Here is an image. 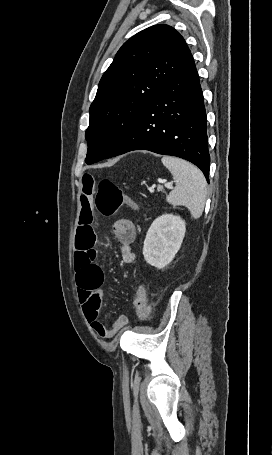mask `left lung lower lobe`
<instances>
[{
  "label": "left lung lower lobe",
  "mask_w": 272,
  "mask_h": 455,
  "mask_svg": "<svg viewBox=\"0 0 272 455\" xmlns=\"http://www.w3.org/2000/svg\"><path fill=\"white\" fill-rule=\"evenodd\" d=\"M133 150L186 159L209 182L206 112L194 61L145 107L108 158Z\"/></svg>",
  "instance_id": "obj_1"
}]
</instances>
